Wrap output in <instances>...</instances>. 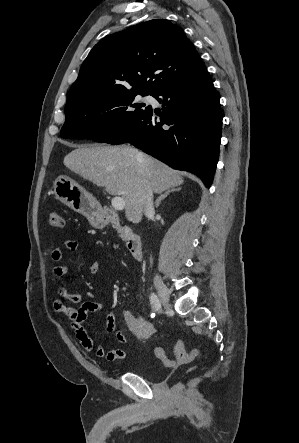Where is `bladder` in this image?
Returning <instances> with one entry per match:
<instances>
[{"label": "bladder", "instance_id": "bladder-1", "mask_svg": "<svg viewBox=\"0 0 299 443\" xmlns=\"http://www.w3.org/2000/svg\"><path fill=\"white\" fill-rule=\"evenodd\" d=\"M131 369L133 373L138 374L139 376L151 380L155 378V374L150 369L140 368L134 365V363L131 364Z\"/></svg>", "mask_w": 299, "mask_h": 443}]
</instances>
